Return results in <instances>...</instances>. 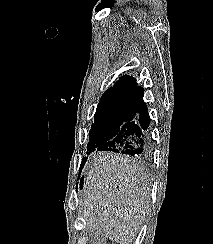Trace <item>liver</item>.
Listing matches in <instances>:
<instances>
[{
	"mask_svg": "<svg viewBox=\"0 0 213 244\" xmlns=\"http://www.w3.org/2000/svg\"><path fill=\"white\" fill-rule=\"evenodd\" d=\"M148 174L129 157L102 153L86 173L83 188L88 228L120 244L139 232L150 204Z\"/></svg>",
	"mask_w": 213,
	"mask_h": 244,
	"instance_id": "liver-1",
	"label": "liver"
}]
</instances>
